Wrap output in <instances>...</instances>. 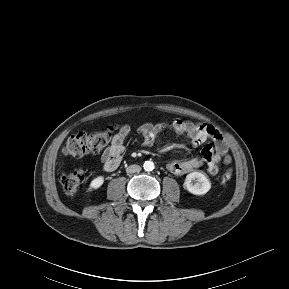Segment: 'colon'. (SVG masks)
<instances>
[{"label":"colon","mask_w":289,"mask_h":289,"mask_svg":"<svg viewBox=\"0 0 289 289\" xmlns=\"http://www.w3.org/2000/svg\"><path fill=\"white\" fill-rule=\"evenodd\" d=\"M112 128L96 133H78L68 138L62 151L65 155L71 157H81L89 154H97L104 151L111 140ZM233 175V168L227 167L221 177V183L227 184ZM86 174L83 170L78 169L61 176L60 182L64 192L68 195L76 194L83 182Z\"/></svg>","instance_id":"colon-1"}]
</instances>
